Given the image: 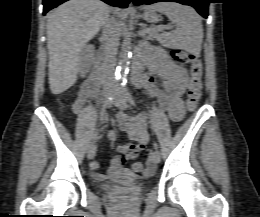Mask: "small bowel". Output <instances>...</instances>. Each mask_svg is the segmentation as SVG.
Wrapping results in <instances>:
<instances>
[{"instance_id":"c3829d8e","label":"small bowel","mask_w":260,"mask_h":217,"mask_svg":"<svg viewBox=\"0 0 260 217\" xmlns=\"http://www.w3.org/2000/svg\"><path fill=\"white\" fill-rule=\"evenodd\" d=\"M138 67L146 68V73L137 82V87L143 89L149 97L155 99L165 110L170 119L177 122L182 119L183 109L181 98L187 85V71L174 64L167 55L159 49H152L136 62ZM80 93L73 104V111L79 113L88 96ZM117 120L120 128L125 131L134 143L115 145L116 134L109 131L108 138L117 155L111 160L106 173L99 172V165L93 162L91 169L98 179H104L108 174H114L123 169L127 161L133 160L148 144L146 130L148 114L141 113L136 118H129L124 111H119Z\"/></svg>"}]
</instances>
